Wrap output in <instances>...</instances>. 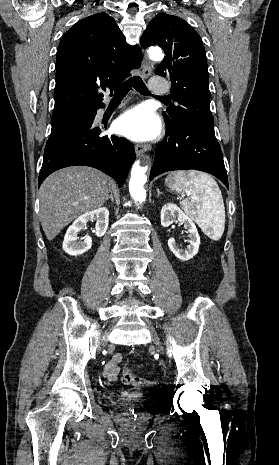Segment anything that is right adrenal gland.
<instances>
[{"mask_svg": "<svg viewBox=\"0 0 279 465\" xmlns=\"http://www.w3.org/2000/svg\"><path fill=\"white\" fill-rule=\"evenodd\" d=\"M111 199V201L113 202L114 201V198H113V194H112V191L110 190V195L108 196L107 198V201Z\"/></svg>", "mask_w": 279, "mask_h": 465, "instance_id": "2a0ac1e0", "label": "right adrenal gland"}]
</instances>
